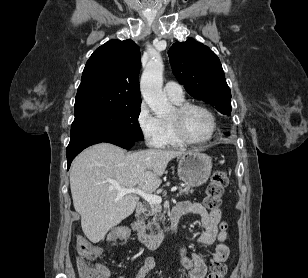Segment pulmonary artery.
<instances>
[{
    "instance_id": "1",
    "label": "pulmonary artery",
    "mask_w": 308,
    "mask_h": 278,
    "mask_svg": "<svg viewBox=\"0 0 308 278\" xmlns=\"http://www.w3.org/2000/svg\"><path fill=\"white\" fill-rule=\"evenodd\" d=\"M164 92L171 100L180 101L184 99L182 87L175 82H167L164 86Z\"/></svg>"
}]
</instances>
